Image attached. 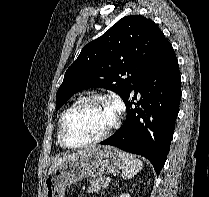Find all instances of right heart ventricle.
Instances as JSON below:
<instances>
[{
    "instance_id": "right-heart-ventricle-1",
    "label": "right heart ventricle",
    "mask_w": 209,
    "mask_h": 197,
    "mask_svg": "<svg viewBox=\"0 0 209 197\" xmlns=\"http://www.w3.org/2000/svg\"><path fill=\"white\" fill-rule=\"evenodd\" d=\"M70 107H67L63 113L61 114L60 116V119H59V122H58V131H57V140H58V143L61 147H64V145L61 143V140H60V124H61V120H62V117L63 115L65 114V112L69 109Z\"/></svg>"
}]
</instances>
